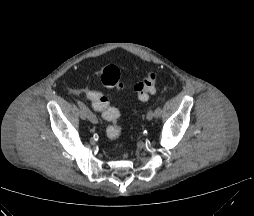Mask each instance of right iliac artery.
I'll list each match as a JSON object with an SVG mask.
<instances>
[{
    "label": "right iliac artery",
    "mask_w": 254,
    "mask_h": 216,
    "mask_svg": "<svg viewBox=\"0 0 254 216\" xmlns=\"http://www.w3.org/2000/svg\"><path fill=\"white\" fill-rule=\"evenodd\" d=\"M78 106L80 107V109L84 110L88 116V119L94 123V124H97L98 123V118L96 117L95 114H93L89 108L80 100H76Z\"/></svg>",
    "instance_id": "82829eb1"
}]
</instances>
